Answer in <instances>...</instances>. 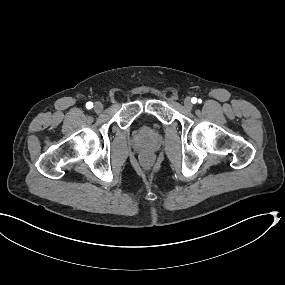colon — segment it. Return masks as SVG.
<instances>
[{
    "mask_svg": "<svg viewBox=\"0 0 285 285\" xmlns=\"http://www.w3.org/2000/svg\"><path fill=\"white\" fill-rule=\"evenodd\" d=\"M142 163L145 166H149L152 163V158L149 155H145L142 159Z\"/></svg>",
    "mask_w": 285,
    "mask_h": 285,
    "instance_id": "colon-1",
    "label": "colon"
}]
</instances>
